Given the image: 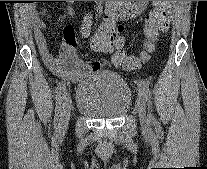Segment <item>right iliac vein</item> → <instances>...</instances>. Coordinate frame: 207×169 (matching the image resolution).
<instances>
[{"instance_id":"obj_1","label":"right iliac vein","mask_w":207,"mask_h":169,"mask_svg":"<svg viewBox=\"0 0 207 169\" xmlns=\"http://www.w3.org/2000/svg\"><path fill=\"white\" fill-rule=\"evenodd\" d=\"M71 97L69 94H65L64 100H63V106H62V114L60 118V124L59 127L61 130H64L67 128L69 119H70V113H71Z\"/></svg>"}]
</instances>
